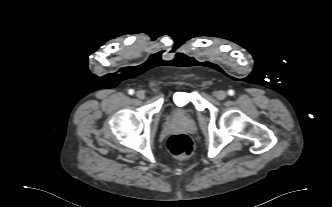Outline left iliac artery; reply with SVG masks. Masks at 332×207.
<instances>
[{
	"mask_svg": "<svg viewBox=\"0 0 332 207\" xmlns=\"http://www.w3.org/2000/svg\"><path fill=\"white\" fill-rule=\"evenodd\" d=\"M234 90H232V89H230L229 91H228V94L230 95V96H233L234 95Z\"/></svg>",
	"mask_w": 332,
	"mask_h": 207,
	"instance_id": "1",
	"label": "left iliac artery"
}]
</instances>
